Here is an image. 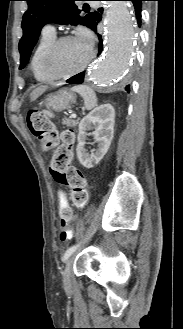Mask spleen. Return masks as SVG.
Instances as JSON below:
<instances>
[{
	"instance_id": "obj_1",
	"label": "spleen",
	"mask_w": 183,
	"mask_h": 329,
	"mask_svg": "<svg viewBox=\"0 0 183 329\" xmlns=\"http://www.w3.org/2000/svg\"><path fill=\"white\" fill-rule=\"evenodd\" d=\"M72 91L78 93L84 99V105L87 110H91L97 105V96L92 88L80 85L72 87Z\"/></svg>"
}]
</instances>
